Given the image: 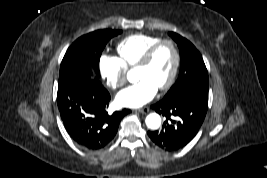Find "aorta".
<instances>
[{
    "label": "aorta",
    "instance_id": "obj_1",
    "mask_svg": "<svg viewBox=\"0 0 267 178\" xmlns=\"http://www.w3.org/2000/svg\"><path fill=\"white\" fill-rule=\"evenodd\" d=\"M145 123L149 129L156 130L161 125V117L157 113H150L146 117Z\"/></svg>",
    "mask_w": 267,
    "mask_h": 178
}]
</instances>
